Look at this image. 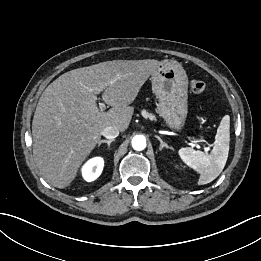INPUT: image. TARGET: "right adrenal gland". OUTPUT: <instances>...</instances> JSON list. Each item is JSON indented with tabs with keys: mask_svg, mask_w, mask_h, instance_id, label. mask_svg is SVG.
Returning <instances> with one entry per match:
<instances>
[{
	"mask_svg": "<svg viewBox=\"0 0 261 261\" xmlns=\"http://www.w3.org/2000/svg\"><path fill=\"white\" fill-rule=\"evenodd\" d=\"M114 141V139L112 140H100L98 143V148L102 145V144H107L108 148L110 147V144Z\"/></svg>",
	"mask_w": 261,
	"mask_h": 261,
	"instance_id": "right-adrenal-gland-1",
	"label": "right adrenal gland"
}]
</instances>
